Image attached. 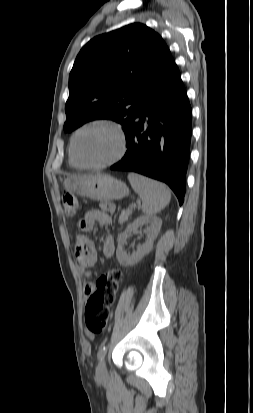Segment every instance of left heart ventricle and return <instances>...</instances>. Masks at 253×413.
I'll use <instances>...</instances> for the list:
<instances>
[{"instance_id": "b2bd125f", "label": "left heart ventricle", "mask_w": 253, "mask_h": 413, "mask_svg": "<svg viewBox=\"0 0 253 413\" xmlns=\"http://www.w3.org/2000/svg\"><path fill=\"white\" fill-rule=\"evenodd\" d=\"M118 148L116 135L105 126L81 132L75 142V154L85 164H96L112 157Z\"/></svg>"}]
</instances>
